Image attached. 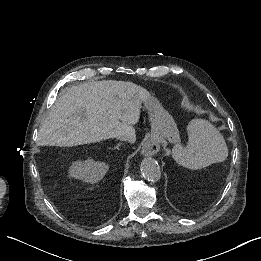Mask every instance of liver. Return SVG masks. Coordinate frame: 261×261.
Returning a JSON list of instances; mask_svg holds the SVG:
<instances>
[{
  "instance_id": "1",
  "label": "liver",
  "mask_w": 261,
  "mask_h": 261,
  "mask_svg": "<svg viewBox=\"0 0 261 261\" xmlns=\"http://www.w3.org/2000/svg\"><path fill=\"white\" fill-rule=\"evenodd\" d=\"M149 92L132 82L102 80L66 88L42 122L40 145L72 147L110 138L135 143L133 127Z\"/></svg>"
}]
</instances>
